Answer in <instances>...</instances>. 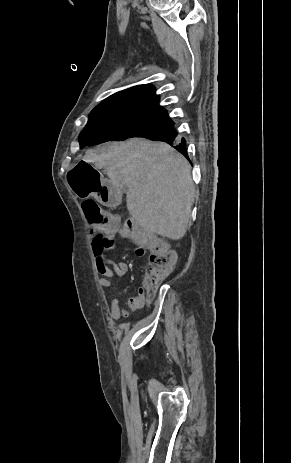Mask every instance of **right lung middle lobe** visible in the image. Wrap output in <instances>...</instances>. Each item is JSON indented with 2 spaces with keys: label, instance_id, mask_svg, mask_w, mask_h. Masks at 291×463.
I'll use <instances>...</instances> for the list:
<instances>
[{
  "label": "right lung middle lobe",
  "instance_id": "dd1d6c3e",
  "mask_svg": "<svg viewBox=\"0 0 291 463\" xmlns=\"http://www.w3.org/2000/svg\"><path fill=\"white\" fill-rule=\"evenodd\" d=\"M169 125L167 120L150 116L92 110L88 123L79 136L80 148L132 137L146 138L165 130Z\"/></svg>",
  "mask_w": 291,
  "mask_h": 463
}]
</instances>
